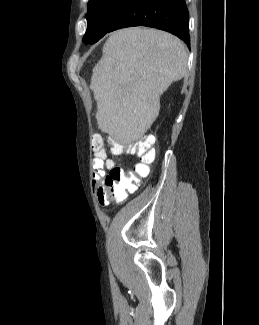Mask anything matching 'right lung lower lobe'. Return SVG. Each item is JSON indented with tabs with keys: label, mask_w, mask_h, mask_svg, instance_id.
<instances>
[{
	"label": "right lung lower lobe",
	"mask_w": 259,
	"mask_h": 325,
	"mask_svg": "<svg viewBox=\"0 0 259 325\" xmlns=\"http://www.w3.org/2000/svg\"><path fill=\"white\" fill-rule=\"evenodd\" d=\"M188 9L184 0H130L108 32L130 26H148L170 32L190 46Z\"/></svg>",
	"instance_id": "right-lung-lower-lobe-1"
}]
</instances>
